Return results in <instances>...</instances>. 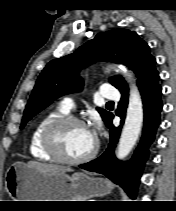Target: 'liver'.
I'll use <instances>...</instances> for the list:
<instances>
[{"label": "liver", "instance_id": "6515ba94", "mask_svg": "<svg viewBox=\"0 0 176 211\" xmlns=\"http://www.w3.org/2000/svg\"><path fill=\"white\" fill-rule=\"evenodd\" d=\"M27 165L31 168H35L40 171H47V172H71L72 169L69 167L58 166L54 164H45L36 161H29Z\"/></svg>", "mask_w": 176, "mask_h": 211}]
</instances>
